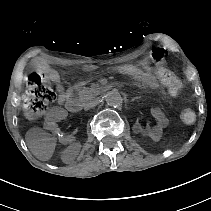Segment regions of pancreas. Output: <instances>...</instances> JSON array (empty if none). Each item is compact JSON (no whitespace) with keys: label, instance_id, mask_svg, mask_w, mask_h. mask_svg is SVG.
<instances>
[{"label":"pancreas","instance_id":"pancreas-1","mask_svg":"<svg viewBox=\"0 0 211 211\" xmlns=\"http://www.w3.org/2000/svg\"><path fill=\"white\" fill-rule=\"evenodd\" d=\"M93 97H94V93H93V89L91 88H83L77 94V98L83 103Z\"/></svg>","mask_w":211,"mask_h":211}]
</instances>
